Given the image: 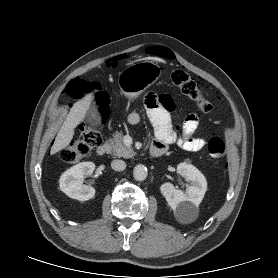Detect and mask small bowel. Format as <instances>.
Returning a JSON list of instances; mask_svg holds the SVG:
<instances>
[{
  "instance_id": "1",
  "label": "small bowel",
  "mask_w": 278,
  "mask_h": 278,
  "mask_svg": "<svg viewBox=\"0 0 278 278\" xmlns=\"http://www.w3.org/2000/svg\"><path fill=\"white\" fill-rule=\"evenodd\" d=\"M145 106L148 118L153 125L155 140L154 144L161 145L165 149L170 144L176 143L181 148L191 152L203 149L205 139L194 137L193 134L198 128L200 117L196 113L189 114L180 127H175L171 120V111L174 108L170 96L160 97L149 93L145 98ZM129 124H138L141 120L140 114L133 112L128 116Z\"/></svg>"
}]
</instances>
